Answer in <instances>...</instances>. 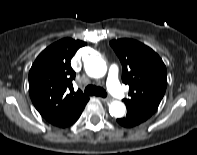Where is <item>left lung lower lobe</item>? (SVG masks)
<instances>
[{"label":"left lung lower lobe","instance_id":"1","mask_svg":"<svg viewBox=\"0 0 197 155\" xmlns=\"http://www.w3.org/2000/svg\"><path fill=\"white\" fill-rule=\"evenodd\" d=\"M144 121L145 120L142 117L130 111H127L126 117L117 119V122L124 127H134L141 124Z\"/></svg>","mask_w":197,"mask_h":155}]
</instances>
